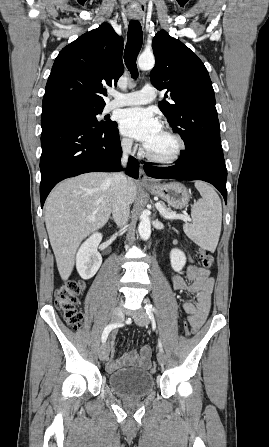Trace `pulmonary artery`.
<instances>
[{
	"label": "pulmonary artery",
	"mask_w": 269,
	"mask_h": 447,
	"mask_svg": "<svg viewBox=\"0 0 269 447\" xmlns=\"http://www.w3.org/2000/svg\"><path fill=\"white\" fill-rule=\"evenodd\" d=\"M156 97L157 90L151 85H146L138 91L126 94H115L109 108L148 104L153 102Z\"/></svg>",
	"instance_id": "obj_1"
}]
</instances>
